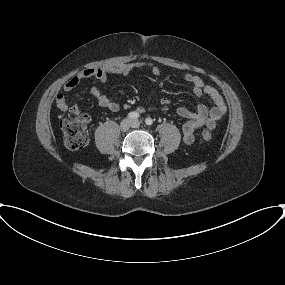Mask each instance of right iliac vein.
Listing matches in <instances>:
<instances>
[{"mask_svg":"<svg viewBox=\"0 0 285 285\" xmlns=\"http://www.w3.org/2000/svg\"><path fill=\"white\" fill-rule=\"evenodd\" d=\"M132 122L129 119H124L121 123H120V130L122 132H127L131 126Z\"/></svg>","mask_w":285,"mask_h":285,"instance_id":"obj_1","label":"right iliac vein"}]
</instances>
